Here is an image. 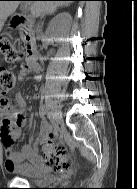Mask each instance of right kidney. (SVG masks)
Listing matches in <instances>:
<instances>
[{"instance_id": "right-kidney-1", "label": "right kidney", "mask_w": 137, "mask_h": 189, "mask_svg": "<svg viewBox=\"0 0 137 189\" xmlns=\"http://www.w3.org/2000/svg\"><path fill=\"white\" fill-rule=\"evenodd\" d=\"M71 21V16L64 12L56 16L49 24L47 33L50 35H54L61 28H65L69 26Z\"/></svg>"}]
</instances>
